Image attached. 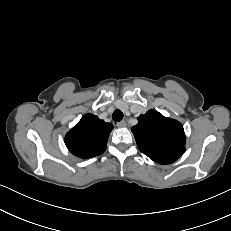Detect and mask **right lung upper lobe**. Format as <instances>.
Wrapping results in <instances>:
<instances>
[{
  "mask_svg": "<svg viewBox=\"0 0 231 231\" xmlns=\"http://www.w3.org/2000/svg\"><path fill=\"white\" fill-rule=\"evenodd\" d=\"M112 129L111 123H106L93 114H86L66 134L65 144L69 151L77 157H94L105 151Z\"/></svg>",
  "mask_w": 231,
  "mask_h": 231,
  "instance_id": "obj_1",
  "label": "right lung upper lobe"
}]
</instances>
